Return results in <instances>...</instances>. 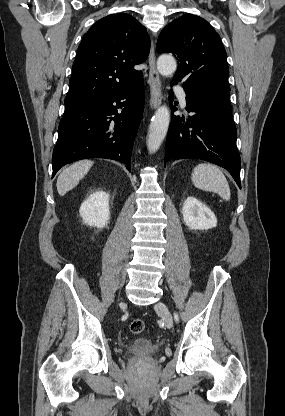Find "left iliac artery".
Segmentation results:
<instances>
[{"instance_id":"44dca946","label":"left iliac artery","mask_w":285,"mask_h":416,"mask_svg":"<svg viewBox=\"0 0 285 416\" xmlns=\"http://www.w3.org/2000/svg\"><path fill=\"white\" fill-rule=\"evenodd\" d=\"M174 319H175L176 322L179 321V317H178V314L177 313H174Z\"/></svg>"}]
</instances>
